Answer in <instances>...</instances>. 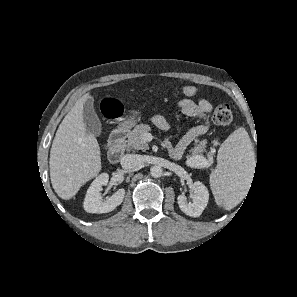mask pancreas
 <instances>
[{
    "mask_svg": "<svg viewBox=\"0 0 297 297\" xmlns=\"http://www.w3.org/2000/svg\"><path fill=\"white\" fill-rule=\"evenodd\" d=\"M151 130V127L147 124H140L137 125L133 131H131L128 135V140L126 141V146L131 149H137L145 151L147 150L148 144L144 138V135ZM202 152V148L195 147L191 151L192 156H197L199 153Z\"/></svg>",
    "mask_w": 297,
    "mask_h": 297,
    "instance_id": "cf45deb5",
    "label": "pancreas"
}]
</instances>
